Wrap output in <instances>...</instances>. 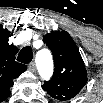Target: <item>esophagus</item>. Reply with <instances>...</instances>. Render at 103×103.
I'll return each mask as SVG.
<instances>
[{"instance_id":"obj_1","label":"esophagus","mask_w":103,"mask_h":103,"mask_svg":"<svg viewBox=\"0 0 103 103\" xmlns=\"http://www.w3.org/2000/svg\"><path fill=\"white\" fill-rule=\"evenodd\" d=\"M35 69H36V67H35V63L34 62H31V63L28 64V70L29 71L34 72Z\"/></svg>"}]
</instances>
